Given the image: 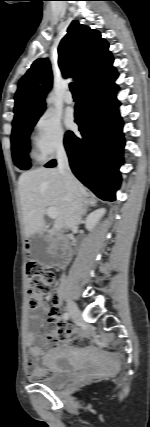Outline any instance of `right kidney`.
Wrapping results in <instances>:
<instances>
[{
  "label": "right kidney",
  "mask_w": 150,
  "mask_h": 427,
  "mask_svg": "<svg viewBox=\"0 0 150 427\" xmlns=\"http://www.w3.org/2000/svg\"><path fill=\"white\" fill-rule=\"evenodd\" d=\"M105 208H100L90 213L85 221L86 228L91 231L96 226L100 218L105 214Z\"/></svg>",
  "instance_id": "obj_1"
}]
</instances>
